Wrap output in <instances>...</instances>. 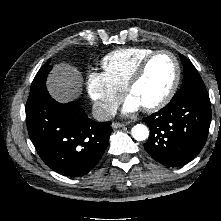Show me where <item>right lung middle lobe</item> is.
<instances>
[{
  "label": "right lung middle lobe",
  "instance_id": "dd1d6c3e",
  "mask_svg": "<svg viewBox=\"0 0 221 221\" xmlns=\"http://www.w3.org/2000/svg\"><path fill=\"white\" fill-rule=\"evenodd\" d=\"M49 63H50V60L45 65H43L41 69L38 71V73L36 74L31 85V89H30L31 92H34L36 89L41 88L45 85L48 73L52 69Z\"/></svg>",
  "mask_w": 221,
  "mask_h": 221
}]
</instances>
